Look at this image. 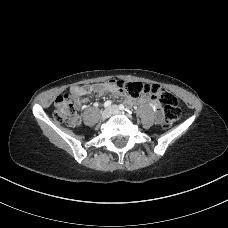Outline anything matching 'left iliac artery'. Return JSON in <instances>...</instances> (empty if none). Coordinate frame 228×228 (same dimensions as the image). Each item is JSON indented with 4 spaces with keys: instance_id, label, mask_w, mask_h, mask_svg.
Wrapping results in <instances>:
<instances>
[{
    "instance_id": "1",
    "label": "left iliac artery",
    "mask_w": 228,
    "mask_h": 228,
    "mask_svg": "<svg viewBox=\"0 0 228 228\" xmlns=\"http://www.w3.org/2000/svg\"><path fill=\"white\" fill-rule=\"evenodd\" d=\"M119 108H120L121 110H123V111H126V112L130 113V111H129L128 109H126V108L124 107L123 104H121V105L119 106Z\"/></svg>"
}]
</instances>
